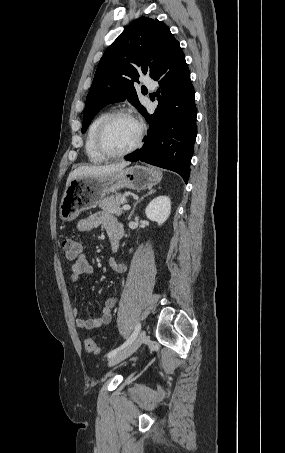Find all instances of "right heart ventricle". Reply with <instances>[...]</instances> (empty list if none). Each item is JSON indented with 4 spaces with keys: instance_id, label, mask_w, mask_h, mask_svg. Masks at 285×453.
I'll return each mask as SVG.
<instances>
[{
    "instance_id": "obj_1",
    "label": "right heart ventricle",
    "mask_w": 285,
    "mask_h": 453,
    "mask_svg": "<svg viewBox=\"0 0 285 453\" xmlns=\"http://www.w3.org/2000/svg\"><path fill=\"white\" fill-rule=\"evenodd\" d=\"M107 114V112H101L100 114H98L90 123L86 133L84 145L85 153L88 160L94 164L103 163L107 159L98 152L95 145V135L97 128Z\"/></svg>"
}]
</instances>
